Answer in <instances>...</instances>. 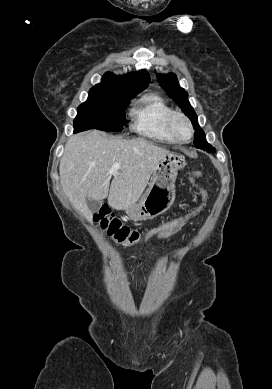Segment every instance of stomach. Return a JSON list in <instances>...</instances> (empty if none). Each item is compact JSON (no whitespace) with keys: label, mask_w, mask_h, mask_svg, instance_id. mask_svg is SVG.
Listing matches in <instances>:
<instances>
[{"label":"stomach","mask_w":272,"mask_h":389,"mask_svg":"<svg viewBox=\"0 0 272 389\" xmlns=\"http://www.w3.org/2000/svg\"><path fill=\"white\" fill-rule=\"evenodd\" d=\"M186 165L185 158L177 153H169L160 160L153 171L149 188L142 198L125 209L126 214L135 221L152 219L173 205L175 181L178 170Z\"/></svg>","instance_id":"0dacf381"}]
</instances>
